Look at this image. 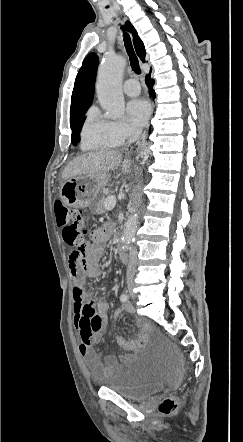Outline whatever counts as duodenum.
I'll return each instance as SVG.
<instances>
[{"label": "duodenum", "mask_w": 243, "mask_h": 442, "mask_svg": "<svg viewBox=\"0 0 243 442\" xmlns=\"http://www.w3.org/2000/svg\"><path fill=\"white\" fill-rule=\"evenodd\" d=\"M119 256L123 261H125V262L129 261V253H128L127 249L122 244H120Z\"/></svg>", "instance_id": "duodenum-1"}]
</instances>
